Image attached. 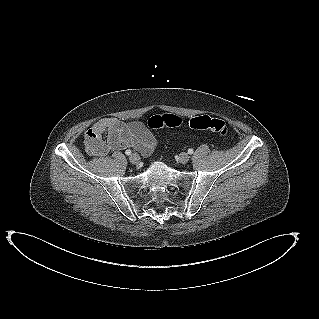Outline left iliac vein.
Listing matches in <instances>:
<instances>
[{"label": "left iliac vein", "mask_w": 319, "mask_h": 319, "mask_svg": "<svg viewBox=\"0 0 319 319\" xmlns=\"http://www.w3.org/2000/svg\"><path fill=\"white\" fill-rule=\"evenodd\" d=\"M190 157L188 155V153L186 152H182L179 155V162L182 164H186L189 161Z\"/></svg>", "instance_id": "1"}]
</instances>
